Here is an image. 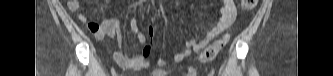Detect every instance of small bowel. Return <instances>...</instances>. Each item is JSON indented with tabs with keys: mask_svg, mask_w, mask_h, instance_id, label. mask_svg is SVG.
<instances>
[{
	"mask_svg": "<svg viewBox=\"0 0 333 76\" xmlns=\"http://www.w3.org/2000/svg\"><path fill=\"white\" fill-rule=\"evenodd\" d=\"M67 8L76 12L79 10L78 0H68ZM77 19L82 23H88L89 30L98 39H105L111 37H120L121 28L120 24L115 19H103L101 22L88 21L86 14L79 12ZM236 19V6L233 0H223L220 9V18L217 23L205 32L202 39L197 37H190L186 39L184 49L177 52L172 59H159L156 63L149 60L152 48L147 44V37L141 32L137 19L133 18L129 22L131 31L136 35L138 42L143 46L138 55L131 58L123 51H115L113 54L114 61L122 69H151L155 68V72H152L150 76H165L168 74L167 68L174 63L183 61L188 55L193 52H200L206 48V46L221 33L228 29ZM148 31L151 37L154 34L152 26H148ZM186 76H195L194 69L187 70Z\"/></svg>",
	"mask_w": 333,
	"mask_h": 76,
	"instance_id": "small-bowel-1",
	"label": "small bowel"
}]
</instances>
